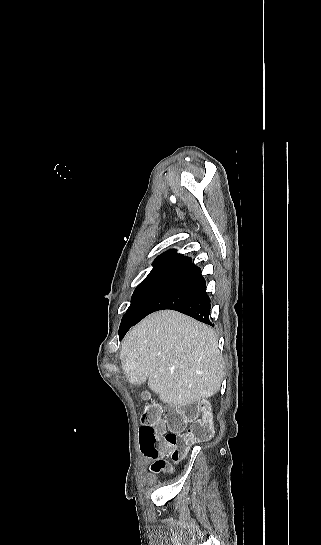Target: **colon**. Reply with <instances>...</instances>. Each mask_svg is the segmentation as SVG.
<instances>
[{"label":"colon","mask_w":321,"mask_h":545,"mask_svg":"<svg viewBox=\"0 0 321 545\" xmlns=\"http://www.w3.org/2000/svg\"><path fill=\"white\" fill-rule=\"evenodd\" d=\"M139 428L141 449L145 456L157 459L160 445L170 453L174 461L183 459L192 444L210 440L215 433L212 416L204 405H188L183 408H163L148 401L144 407ZM190 425L185 430L187 425ZM158 472H169L165 461L157 464Z\"/></svg>","instance_id":"colon-1"}]
</instances>
